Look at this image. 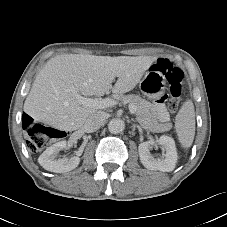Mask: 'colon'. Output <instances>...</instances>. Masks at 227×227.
Segmentation results:
<instances>
[{"mask_svg": "<svg viewBox=\"0 0 227 227\" xmlns=\"http://www.w3.org/2000/svg\"><path fill=\"white\" fill-rule=\"evenodd\" d=\"M153 67L154 70L162 73L170 84L168 107L172 113H175L179 106L184 72L181 68L174 66L165 58L158 59ZM24 127L28 135V147L33 151L41 150L46 144L47 137H55L57 135V131L43 127L33 119H27Z\"/></svg>", "mask_w": 227, "mask_h": 227, "instance_id": "obj_1", "label": "colon"}]
</instances>
